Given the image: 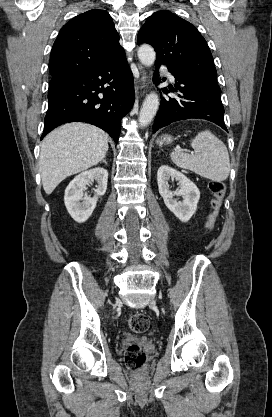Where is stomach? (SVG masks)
<instances>
[{"mask_svg": "<svg viewBox=\"0 0 272 417\" xmlns=\"http://www.w3.org/2000/svg\"><path fill=\"white\" fill-rule=\"evenodd\" d=\"M172 141H173V138H172L171 135H163L160 138H158L156 142H157L158 145L161 146V145L170 144V143H172Z\"/></svg>", "mask_w": 272, "mask_h": 417, "instance_id": "0dacf381", "label": "stomach"}]
</instances>
